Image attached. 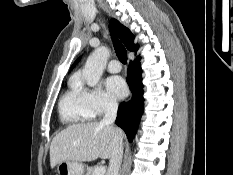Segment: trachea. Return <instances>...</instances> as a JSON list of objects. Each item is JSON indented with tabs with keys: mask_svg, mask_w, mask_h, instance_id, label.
Wrapping results in <instances>:
<instances>
[{
	"mask_svg": "<svg viewBox=\"0 0 233 175\" xmlns=\"http://www.w3.org/2000/svg\"><path fill=\"white\" fill-rule=\"evenodd\" d=\"M112 41L115 48V52L119 60L126 64L127 62V51L122 43L116 38V36L112 35Z\"/></svg>",
	"mask_w": 233,
	"mask_h": 175,
	"instance_id": "obj_1",
	"label": "trachea"
}]
</instances>
